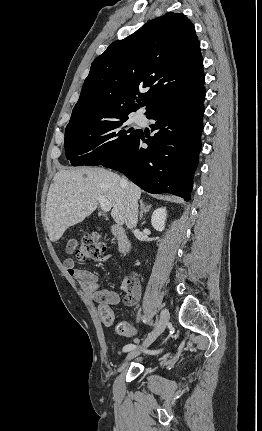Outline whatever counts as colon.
Here are the masks:
<instances>
[{
	"instance_id": "5ec220e1",
	"label": "colon",
	"mask_w": 262,
	"mask_h": 431,
	"mask_svg": "<svg viewBox=\"0 0 262 431\" xmlns=\"http://www.w3.org/2000/svg\"><path fill=\"white\" fill-rule=\"evenodd\" d=\"M106 246L94 235L85 236L81 239H70L66 245V252L74 254L79 261L88 262L104 254ZM104 323H113L114 320L111 316L105 314L100 315ZM116 332L123 336H132L134 330L125 322L116 324Z\"/></svg>"
}]
</instances>
